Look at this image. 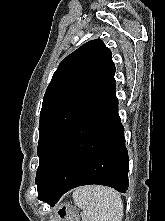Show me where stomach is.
<instances>
[{
    "label": "stomach",
    "instance_id": "1",
    "mask_svg": "<svg viewBox=\"0 0 165 221\" xmlns=\"http://www.w3.org/2000/svg\"><path fill=\"white\" fill-rule=\"evenodd\" d=\"M60 212H54V217L58 218L57 221H78L75 211L69 205H63L59 209Z\"/></svg>",
    "mask_w": 165,
    "mask_h": 221
}]
</instances>
